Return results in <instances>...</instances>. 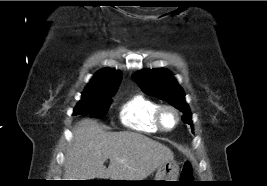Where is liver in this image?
<instances>
[{"label": "liver", "mask_w": 267, "mask_h": 186, "mask_svg": "<svg viewBox=\"0 0 267 186\" xmlns=\"http://www.w3.org/2000/svg\"><path fill=\"white\" fill-rule=\"evenodd\" d=\"M65 157V180L141 181L173 160L165 145L131 131L106 132L92 119L80 120ZM109 159L108 168L104 162Z\"/></svg>", "instance_id": "liver-1"}]
</instances>
